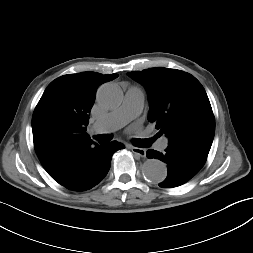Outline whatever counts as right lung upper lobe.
Masks as SVG:
<instances>
[{"label": "right lung upper lobe", "mask_w": 253, "mask_h": 253, "mask_svg": "<svg viewBox=\"0 0 253 253\" xmlns=\"http://www.w3.org/2000/svg\"><path fill=\"white\" fill-rule=\"evenodd\" d=\"M118 74L82 72L52 81L32 117L35 151L49 175L62 186L81 178L91 153L100 145L86 133L97 88Z\"/></svg>", "instance_id": "obj_1"}]
</instances>
